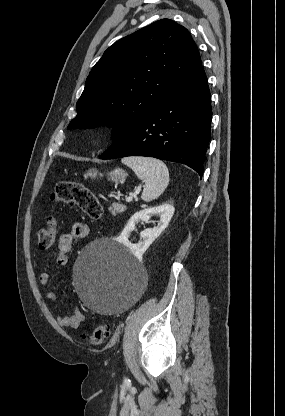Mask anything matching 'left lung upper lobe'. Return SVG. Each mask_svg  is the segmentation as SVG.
<instances>
[{"instance_id": "obj_1", "label": "left lung upper lobe", "mask_w": 285, "mask_h": 416, "mask_svg": "<svg viewBox=\"0 0 285 416\" xmlns=\"http://www.w3.org/2000/svg\"><path fill=\"white\" fill-rule=\"evenodd\" d=\"M201 66L190 33L170 19L128 35L92 68L67 129L113 127L115 142L181 88Z\"/></svg>"}]
</instances>
